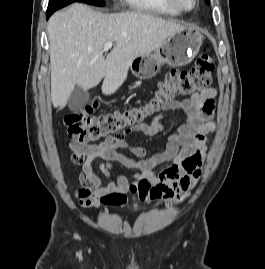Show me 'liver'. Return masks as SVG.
<instances>
[{"label":"liver","instance_id":"obj_1","mask_svg":"<svg viewBox=\"0 0 265 269\" xmlns=\"http://www.w3.org/2000/svg\"><path fill=\"white\" fill-rule=\"evenodd\" d=\"M185 26L144 12L104 14L82 3L54 13L48 21L51 99L64 108L78 86L87 91L102 79V93H114L132 61L159 48ZM113 41L107 57L104 46Z\"/></svg>","mask_w":265,"mask_h":269}]
</instances>
